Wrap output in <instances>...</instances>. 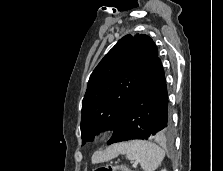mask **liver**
Masks as SVG:
<instances>
[{"label":"liver","mask_w":223,"mask_h":171,"mask_svg":"<svg viewBox=\"0 0 223 171\" xmlns=\"http://www.w3.org/2000/svg\"><path fill=\"white\" fill-rule=\"evenodd\" d=\"M125 149V144H115L108 147L105 151L97 152L92 156V163H101L117 157Z\"/></svg>","instance_id":"1"}]
</instances>
